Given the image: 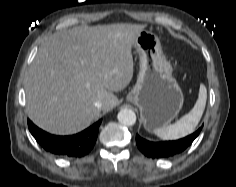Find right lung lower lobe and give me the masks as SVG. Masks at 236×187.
<instances>
[{
  "instance_id": "98d812e1",
  "label": "right lung lower lobe",
  "mask_w": 236,
  "mask_h": 187,
  "mask_svg": "<svg viewBox=\"0 0 236 187\" xmlns=\"http://www.w3.org/2000/svg\"><path fill=\"white\" fill-rule=\"evenodd\" d=\"M101 120L86 130L71 136L51 135L28 119V127L36 141L48 152L68 157H82L87 155L93 148Z\"/></svg>"
}]
</instances>
